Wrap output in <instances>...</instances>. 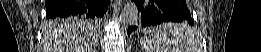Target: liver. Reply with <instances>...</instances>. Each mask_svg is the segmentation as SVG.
<instances>
[{"mask_svg": "<svg viewBox=\"0 0 261 52\" xmlns=\"http://www.w3.org/2000/svg\"><path fill=\"white\" fill-rule=\"evenodd\" d=\"M91 28L83 23L48 21L42 31L47 52H92Z\"/></svg>", "mask_w": 261, "mask_h": 52, "instance_id": "liver-1", "label": "liver"}]
</instances>
